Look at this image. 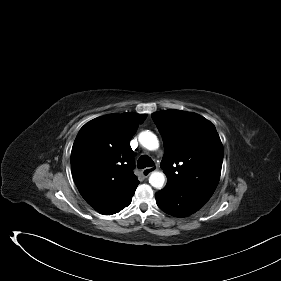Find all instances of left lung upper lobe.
I'll return each mask as SVG.
<instances>
[{
    "mask_svg": "<svg viewBox=\"0 0 281 281\" xmlns=\"http://www.w3.org/2000/svg\"><path fill=\"white\" fill-rule=\"evenodd\" d=\"M164 142L160 164L167 185L192 188L209 197L221 174L223 146L215 126L204 117L186 111L152 114Z\"/></svg>",
    "mask_w": 281,
    "mask_h": 281,
    "instance_id": "5c2ea615",
    "label": "left lung upper lobe"
}]
</instances>
